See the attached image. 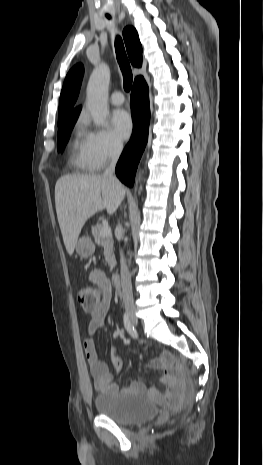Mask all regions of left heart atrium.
Wrapping results in <instances>:
<instances>
[{
  "mask_svg": "<svg viewBox=\"0 0 263 465\" xmlns=\"http://www.w3.org/2000/svg\"><path fill=\"white\" fill-rule=\"evenodd\" d=\"M111 125L115 135L121 139H127L133 128L130 114L124 109H117L111 116Z\"/></svg>",
  "mask_w": 263,
  "mask_h": 465,
  "instance_id": "1",
  "label": "left heart atrium"
}]
</instances>
